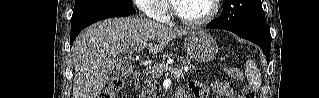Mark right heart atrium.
<instances>
[{"mask_svg": "<svg viewBox=\"0 0 319 98\" xmlns=\"http://www.w3.org/2000/svg\"><path fill=\"white\" fill-rule=\"evenodd\" d=\"M136 5L152 19H162L168 14V6L164 0H137Z\"/></svg>", "mask_w": 319, "mask_h": 98, "instance_id": "right-heart-atrium-1", "label": "right heart atrium"}]
</instances>
